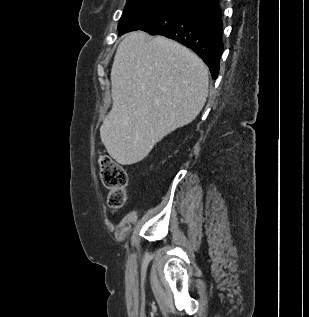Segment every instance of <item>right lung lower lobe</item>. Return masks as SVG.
Returning <instances> with one entry per match:
<instances>
[{"label": "right lung lower lobe", "mask_w": 309, "mask_h": 317, "mask_svg": "<svg viewBox=\"0 0 309 317\" xmlns=\"http://www.w3.org/2000/svg\"><path fill=\"white\" fill-rule=\"evenodd\" d=\"M222 29L219 0H179L138 18L119 35L143 30L176 40L196 52L216 79L223 53Z\"/></svg>", "instance_id": "1"}]
</instances>
